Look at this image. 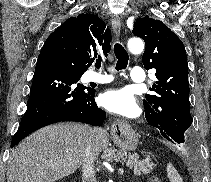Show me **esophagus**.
I'll use <instances>...</instances> for the list:
<instances>
[{
  "instance_id": "esophagus-1",
  "label": "esophagus",
  "mask_w": 211,
  "mask_h": 182,
  "mask_svg": "<svg viewBox=\"0 0 211 182\" xmlns=\"http://www.w3.org/2000/svg\"><path fill=\"white\" fill-rule=\"evenodd\" d=\"M111 23H112V28H113L114 33L117 36H119L120 32H121V20H120V18L118 16H113ZM125 126H126L125 123L122 122V121H114L111 124V128L114 131L117 130V129H123V128H125Z\"/></svg>"
}]
</instances>
